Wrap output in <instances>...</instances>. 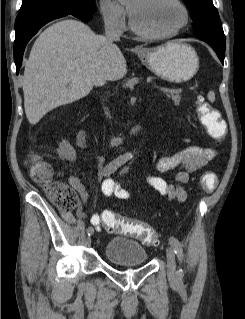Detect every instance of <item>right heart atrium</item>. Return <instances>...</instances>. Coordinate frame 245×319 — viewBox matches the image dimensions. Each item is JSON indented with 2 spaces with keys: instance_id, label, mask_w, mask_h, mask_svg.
I'll return each mask as SVG.
<instances>
[{
  "instance_id": "d8ad5b80",
  "label": "right heart atrium",
  "mask_w": 245,
  "mask_h": 319,
  "mask_svg": "<svg viewBox=\"0 0 245 319\" xmlns=\"http://www.w3.org/2000/svg\"><path fill=\"white\" fill-rule=\"evenodd\" d=\"M100 13L109 29L116 32L125 29V10L113 0H100Z\"/></svg>"
}]
</instances>
